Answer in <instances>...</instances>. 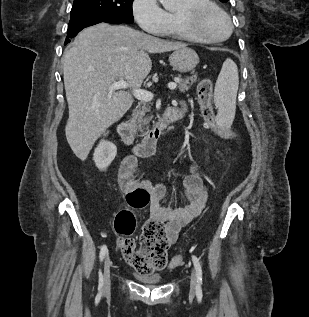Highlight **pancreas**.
I'll list each match as a JSON object with an SVG mask.
<instances>
[{"label": "pancreas", "instance_id": "pancreas-1", "mask_svg": "<svg viewBox=\"0 0 309 317\" xmlns=\"http://www.w3.org/2000/svg\"><path fill=\"white\" fill-rule=\"evenodd\" d=\"M197 76H189L186 78L178 77L177 81V87L180 93H184L190 89L192 84L196 82ZM150 105L147 102H141L132 113V119L131 124L133 128L140 132L145 133L147 130V125L149 124L150 120L152 119V116L147 115L148 112H150Z\"/></svg>", "mask_w": 309, "mask_h": 317}]
</instances>
